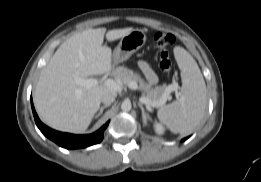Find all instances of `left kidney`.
<instances>
[{
    "label": "left kidney",
    "mask_w": 261,
    "mask_h": 182,
    "mask_svg": "<svg viewBox=\"0 0 261 182\" xmlns=\"http://www.w3.org/2000/svg\"><path fill=\"white\" fill-rule=\"evenodd\" d=\"M154 129H155V132H156L158 135L164 134L165 129H164V127H163L161 124L155 123V124H154Z\"/></svg>",
    "instance_id": "obj_1"
}]
</instances>
